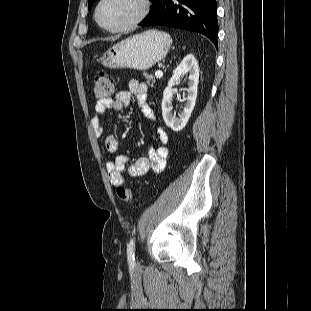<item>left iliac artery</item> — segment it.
<instances>
[{
  "mask_svg": "<svg viewBox=\"0 0 311 311\" xmlns=\"http://www.w3.org/2000/svg\"><path fill=\"white\" fill-rule=\"evenodd\" d=\"M135 238L131 239L127 246V258L130 265L135 263Z\"/></svg>",
  "mask_w": 311,
  "mask_h": 311,
  "instance_id": "left-iliac-artery-1",
  "label": "left iliac artery"
}]
</instances>
